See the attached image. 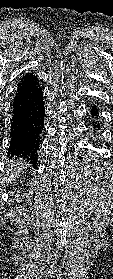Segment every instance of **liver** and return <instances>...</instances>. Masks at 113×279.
Masks as SVG:
<instances>
[{
	"mask_svg": "<svg viewBox=\"0 0 113 279\" xmlns=\"http://www.w3.org/2000/svg\"><path fill=\"white\" fill-rule=\"evenodd\" d=\"M28 162L23 161L22 159H11L8 161L6 172L1 178V184H11V182L18 179L28 167Z\"/></svg>",
	"mask_w": 113,
	"mask_h": 279,
	"instance_id": "liver-1",
	"label": "liver"
}]
</instances>
